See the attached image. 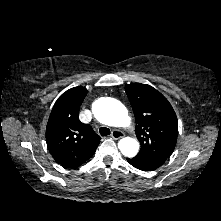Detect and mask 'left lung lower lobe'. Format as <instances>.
Returning <instances> with one entry per match:
<instances>
[{
    "mask_svg": "<svg viewBox=\"0 0 221 221\" xmlns=\"http://www.w3.org/2000/svg\"><path fill=\"white\" fill-rule=\"evenodd\" d=\"M128 162L134 166L137 169L143 170V171H152L155 170L159 167V165L143 160L137 156H135L134 158H127Z\"/></svg>",
    "mask_w": 221,
    "mask_h": 221,
    "instance_id": "obj_1",
    "label": "left lung lower lobe"
}]
</instances>
